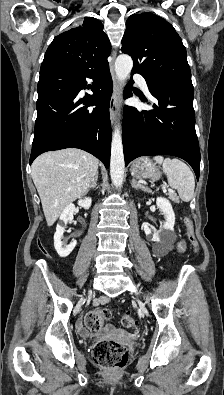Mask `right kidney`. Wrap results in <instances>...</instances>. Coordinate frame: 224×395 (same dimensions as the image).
<instances>
[{"label": "right kidney", "mask_w": 224, "mask_h": 395, "mask_svg": "<svg viewBox=\"0 0 224 395\" xmlns=\"http://www.w3.org/2000/svg\"><path fill=\"white\" fill-rule=\"evenodd\" d=\"M91 198H84L80 199L78 201V205L83 207L84 209H89L91 206ZM75 212V205L74 204H69L61 213L60 215V220L63 221L65 224H67L68 221H71L73 219V214ZM64 233V227L61 225H57L56 227V232L54 234V247L58 253V255L62 258L67 257L75 248L77 241L73 240L70 244L63 246V242L61 241V238Z\"/></svg>", "instance_id": "ca27d5eb"}]
</instances>
